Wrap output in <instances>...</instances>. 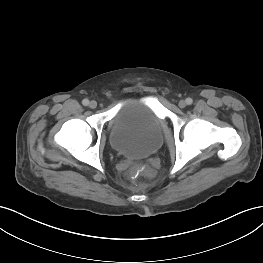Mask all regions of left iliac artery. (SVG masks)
<instances>
[{
    "label": "left iliac artery",
    "instance_id": "left-iliac-artery-1",
    "mask_svg": "<svg viewBox=\"0 0 263 263\" xmlns=\"http://www.w3.org/2000/svg\"><path fill=\"white\" fill-rule=\"evenodd\" d=\"M192 102H193V100H192L191 98H187V99H186V103H187L188 105H191Z\"/></svg>",
    "mask_w": 263,
    "mask_h": 263
}]
</instances>
